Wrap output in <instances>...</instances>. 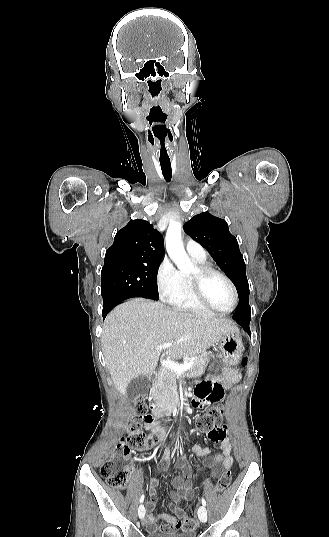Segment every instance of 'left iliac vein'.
I'll return each mask as SVG.
<instances>
[{"mask_svg":"<svg viewBox=\"0 0 329 537\" xmlns=\"http://www.w3.org/2000/svg\"><path fill=\"white\" fill-rule=\"evenodd\" d=\"M198 517L201 522L205 523L207 521V510L204 506L198 508Z\"/></svg>","mask_w":329,"mask_h":537,"instance_id":"obj_1","label":"left iliac vein"}]
</instances>
